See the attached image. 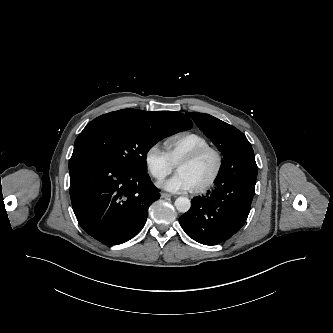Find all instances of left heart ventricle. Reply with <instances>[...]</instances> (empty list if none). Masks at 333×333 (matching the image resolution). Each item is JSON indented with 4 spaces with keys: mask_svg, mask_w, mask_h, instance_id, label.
Wrapping results in <instances>:
<instances>
[{
    "mask_svg": "<svg viewBox=\"0 0 333 333\" xmlns=\"http://www.w3.org/2000/svg\"><path fill=\"white\" fill-rule=\"evenodd\" d=\"M214 168V156L212 154H206L193 163L180 165L177 171L186 175L194 185V188H196L208 180Z\"/></svg>",
    "mask_w": 333,
    "mask_h": 333,
    "instance_id": "b2bd125f",
    "label": "left heart ventricle"
}]
</instances>
